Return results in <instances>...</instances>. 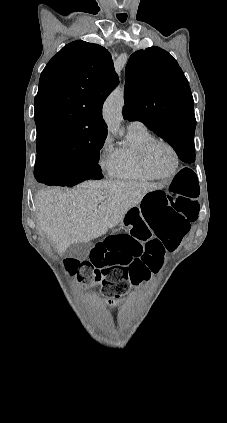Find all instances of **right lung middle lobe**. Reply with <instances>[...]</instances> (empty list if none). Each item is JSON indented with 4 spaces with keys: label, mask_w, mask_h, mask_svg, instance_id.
<instances>
[{
    "label": "right lung middle lobe",
    "mask_w": 227,
    "mask_h": 423,
    "mask_svg": "<svg viewBox=\"0 0 227 423\" xmlns=\"http://www.w3.org/2000/svg\"><path fill=\"white\" fill-rule=\"evenodd\" d=\"M106 134L74 137L55 144L37 145L36 161H53L83 180L101 179L99 150Z\"/></svg>",
    "instance_id": "obj_1"
}]
</instances>
